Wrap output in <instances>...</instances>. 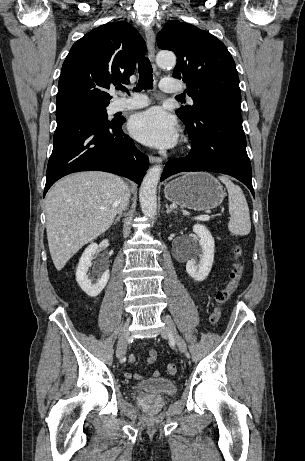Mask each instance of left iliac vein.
Segmentation results:
<instances>
[{
  "label": "left iliac vein",
  "instance_id": "left-iliac-vein-1",
  "mask_svg": "<svg viewBox=\"0 0 305 461\" xmlns=\"http://www.w3.org/2000/svg\"><path fill=\"white\" fill-rule=\"evenodd\" d=\"M162 320L165 322V326L161 329V336L164 338L172 339L175 342L178 349L182 353H185L187 350L186 342L177 332L175 324L172 321V319L168 316H163Z\"/></svg>",
  "mask_w": 305,
  "mask_h": 461
}]
</instances>
